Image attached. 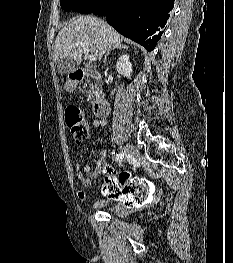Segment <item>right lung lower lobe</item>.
Masks as SVG:
<instances>
[{
  "instance_id": "1",
  "label": "right lung lower lobe",
  "mask_w": 233,
  "mask_h": 263,
  "mask_svg": "<svg viewBox=\"0 0 233 263\" xmlns=\"http://www.w3.org/2000/svg\"><path fill=\"white\" fill-rule=\"evenodd\" d=\"M173 6L174 0H103L90 13L106 16L119 33L151 51Z\"/></svg>"
}]
</instances>
